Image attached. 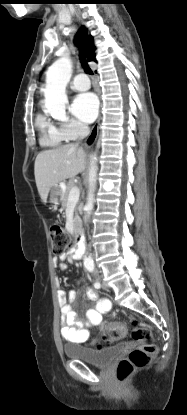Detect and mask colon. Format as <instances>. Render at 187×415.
Masks as SVG:
<instances>
[{"instance_id": "1", "label": "colon", "mask_w": 187, "mask_h": 415, "mask_svg": "<svg viewBox=\"0 0 187 415\" xmlns=\"http://www.w3.org/2000/svg\"><path fill=\"white\" fill-rule=\"evenodd\" d=\"M50 237L52 240V251L55 255H62L72 242L70 234L58 224H53L50 227ZM102 333L103 343L96 344L98 349L121 339L125 334V329L123 324L114 322L105 326L102 329ZM131 336L135 341L140 342V345L132 350L127 357L122 358L118 362L116 374L120 381L128 379L135 369L147 366L152 356L157 352L153 332L138 319L132 320Z\"/></svg>"}]
</instances>
